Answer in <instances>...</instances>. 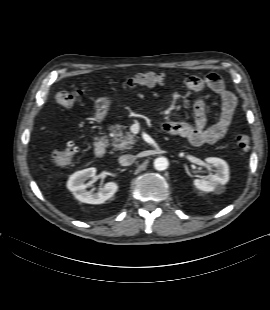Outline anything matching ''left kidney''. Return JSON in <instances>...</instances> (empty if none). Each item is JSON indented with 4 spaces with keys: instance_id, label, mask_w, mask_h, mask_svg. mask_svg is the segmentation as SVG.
I'll list each match as a JSON object with an SVG mask.
<instances>
[{
    "instance_id": "5707ae66",
    "label": "left kidney",
    "mask_w": 270,
    "mask_h": 310,
    "mask_svg": "<svg viewBox=\"0 0 270 310\" xmlns=\"http://www.w3.org/2000/svg\"><path fill=\"white\" fill-rule=\"evenodd\" d=\"M206 162L215 168V174L208 180L195 179L194 185L197 189L205 192H223V185L229 181V167L226 161L216 157L206 158Z\"/></svg>"
}]
</instances>
